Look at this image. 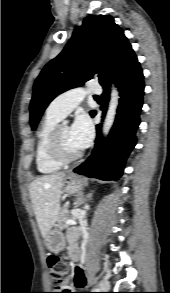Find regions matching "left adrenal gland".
Returning <instances> with one entry per match:
<instances>
[{"instance_id": "1", "label": "left adrenal gland", "mask_w": 170, "mask_h": 293, "mask_svg": "<svg viewBox=\"0 0 170 293\" xmlns=\"http://www.w3.org/2000/svg\"><path fill=\"white\" fill-rule=\"evenodd\" d=\"M92 193L88 194L87 197L91 198ZM84 201H86V199L83 198V195L79 196L77 199V206L81 205Z\"/></svg>"}]
</instances>
